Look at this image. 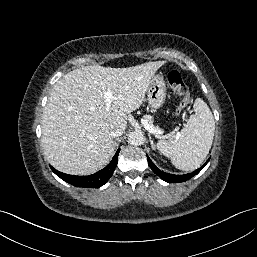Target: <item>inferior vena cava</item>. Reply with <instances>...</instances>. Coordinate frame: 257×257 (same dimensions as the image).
<instances>
[{"label": "inferior vena cava", "instance_id": "inferior-vena-cava-1", "mask_svg": "<svg viewBox=\"0 0 257 257\" xmlns=\"http://www.w3.org/2000/svg\"><path fill=\"white\" fill-rule=\"evenodd\" d=\"M123 130L121 128H117V129H114L110 132V136L112 137H118V136H121L123 134Z\"/></svg>", "mask_w": 257, "mask_h": 257}]
</instances>
